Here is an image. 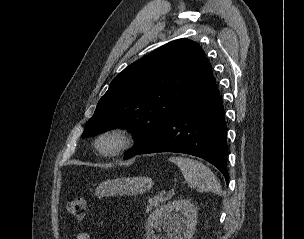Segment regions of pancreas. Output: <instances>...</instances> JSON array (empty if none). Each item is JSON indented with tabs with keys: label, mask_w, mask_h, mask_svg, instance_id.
I'll use <instances>...</instances> for the list:
<instances>
[{
	"label": "pancreas",
	"mask_w": 304,
	"mask_h": 239,
	"mask_svg": "<svg viewBox=\"0 0 304 239\" xmlns=\"http://www.w3.org/2000/svg\"><path fill=\"white\" fill-rule=\"evenodd\" d=\"M166 200V198L162 197V194L155 196L149 200V204L146 206V212H151L153 208H157L161 202Z\"/></svg>",
	"instance_id": "1"
}]
</instances>
